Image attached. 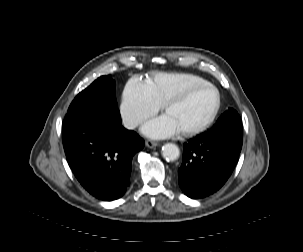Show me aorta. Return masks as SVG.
Masks as SVG:
<instances>
[{"label":"aorta","mask_w":303,"mask_h":252,"mask_svg":"<svg viewBox=\"0 0 303 252\" xmlns=\"http://www.w3.org/2000/svg\"><path fill=\"white\" fill-rule=\"evenodd\" d=\"M162 156L168 161H175L179 158L180 150L177 145L167 143L162 147Z\"/></svg>","instance_id":"762f6f07"}]
</instances>
